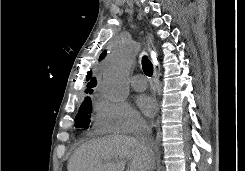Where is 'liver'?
<instances>
[{
  "mask_svg": "<svg viewBox=\"0 0 245 171\" xmlns=\"http://www.w3.org/2000/svg\"><path fill=\"white\" fill-rule=\"evenodd\" d=\"M152 171L155 166L144 156L138 141L129 136L112 135L83 143L71 156L68 171Z\"/></svg>",
  "mask_w": 245,
  "mask_h": 171,
  "instance_id": "6515ba94",
  "label": "liver"
}]
</instances>
